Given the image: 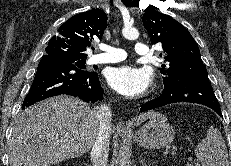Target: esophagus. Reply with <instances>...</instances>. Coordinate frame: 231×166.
I'll use <instances>...</instances> for the list:
<instances>
[{
  "label": "esophagus",
  "mask_w": 231,
  "mask_h": 166,
  "mask_svg": "<svg viewBox=\"0 0 231 166\" xmlns=\"http://www.w3.org/2000/svg\"><path fill=\"white\" fill-rule=\"evenodd\" d=\"M116 130L118 133H122V134L129 133V128L126 126V124L122 120L117 122Z\"/></svg>",
  "instance_id": "34e87169"
}]
</instances>
